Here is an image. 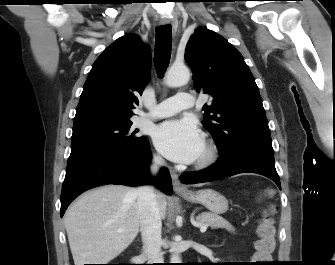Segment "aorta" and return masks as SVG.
Instances as JSON below:
<instances>
[{"label":"aorta","mask_w":335,"mask_h":265,"mask_svg":"<svg viewBox=\"0 0 335 265\" xmlns=\"http://www.w3.org/2000/svg\"><path fill=\"white\" fill-rule=\"evenodd\" d=\"M190 79V72L186 66H172L165 76V83L170 87H177L186 84ZM171 263H181L180 254L172 249Z\"/></svg>","instance_id":"aorta-1"}]
</instances>
